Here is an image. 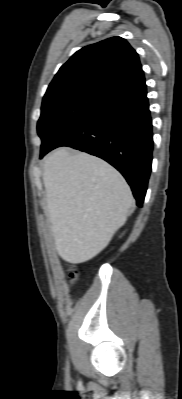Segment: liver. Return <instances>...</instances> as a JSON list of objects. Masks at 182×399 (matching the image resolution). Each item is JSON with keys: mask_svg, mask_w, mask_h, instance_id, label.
<instances>
[{"mask_svg": "<svg viewBox=\"0 0 182 399\" xmlns=\"http://www.w3.org/2000/svg\"><path fill=\"white\" fill-rule=\"evenodd\" d=\"M43 181L55 248L78 264L99 254L131 214L132 192L111 165L60 148L44 161Z\"/></svg>", "mask_w": 182, "mask_h": 399, "instance_id": "obj_1", "label": "liver"}]
</instances>
